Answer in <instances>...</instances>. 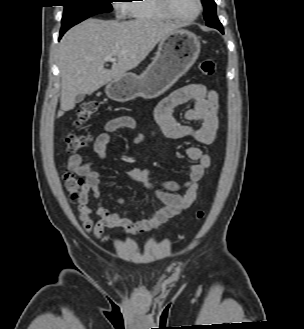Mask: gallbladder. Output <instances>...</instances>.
Wrapping results in <instances>:
<instances>
[{"instance_id":"1","label":"gallbladder","mask_w":304,"mask_h":329,"mask_svg":"<svg viewBox=\"0 0 304 329\" xmlns=\"http://www.w3.org/2000/svg\"><path fill=\"white\" fill-rule=\"evenodd\" d=\"M84 99V94L83 93H79L76 95L75 101L76 103L81 102Z\"/></svg>"}]
</instances>
